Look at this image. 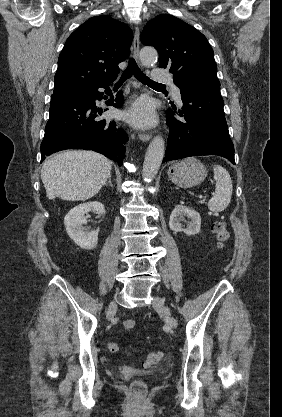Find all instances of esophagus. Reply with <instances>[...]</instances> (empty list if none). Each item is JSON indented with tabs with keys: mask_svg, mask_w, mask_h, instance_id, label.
Masks as SVG:
<instances>
[{
	"mask_svg": "<svg viewBox=\"0 0 282 417\" xmlns=\"http://www.w3.org/2000/svg\"><path fill=\"white\" fill-rule=\"evenodd\" d=\"M139 35H140V31L138 26L135 27V33H134V40H133V55L135 60L139 63ZM133 86L135 88L140 87V84L134 79L133 80ZM138 137L141 141L143 142H147L150 140L151 138V133H145L140 131L138 133Z\"/></svg>",
	"mask_w": 282,
	"mask_h": 417,
	"instance_id": "obj_1",
	"label": "esophagus"
}]
</instances>
